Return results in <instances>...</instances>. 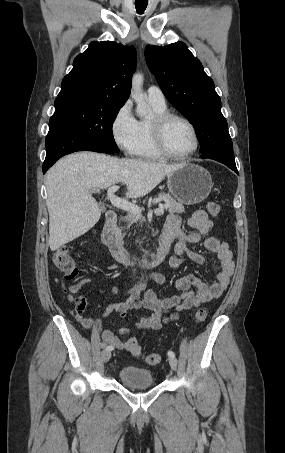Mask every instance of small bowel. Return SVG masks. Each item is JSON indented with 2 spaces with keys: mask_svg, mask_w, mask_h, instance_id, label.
Segmentation results:
<instances>
[{
  "mask_svg": "<svg viewBox=\"0 0 285 453\" xmlns=\"http://www.w3.org/2000/svg\"><path fill=\"white\" fill-rule=\"evenodd\" d=\"M188 226L195 230L192 233H185L181 228V219L178 215L171 214L168 216L162 238L168 240L170 244H175V254L170 259V267L177 268L185 260H191L197 264H203L205 258L202 253L192 251L188 248L189 244L203 242L204 247L210 252L216 254L218 263L214 266L217 270L216 280L208 285L194 275H186L176 281V288L180 291L178 295H173L164 299H158L154 292L147 291L144 299H140L139 291L143 290L146 281L140 283L139 290L133 293L125 302L110 304L104 308L101 317H106L115 313L118 318H123L129 309H147L151 311L148 316H141L136 323L139 330H157L168 320H174L179 313L189 311L203 303L217 299L226 290L233 270L234 262L232 252L228 243L218 240L216 237L208 236L214 228V222L202 211H196L188 220ZM89 278H84L69 287L68 299L73 301V294L76 293ZM157 284H163L165 277L162 274L154 273L148 277ZM62 287L66 289L63 283ZM116 291V287L112 288ZM86 308V301L83 297L75 300L76 319L82 327L86 329H95L100 333L105 345L115 350L123 348V342L113 330H103L101 327V317L92 319L83 315ZM120 335H128L130 330L125 327L117 329Z\"/></svg>",
  "mask_w": 285,
  "mask_h": 453,
  "instance_id": "1",
  "label": "small bowel"
}]
</instances>
